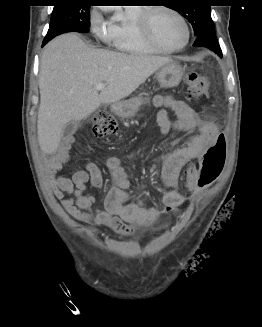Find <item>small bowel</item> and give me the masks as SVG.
Listing matches in <instances>:
<instances>
[{"label":"small bowel","mask_w":262,"mask_h":327,"mask_svg":"<svg viewBox=\"0 0 262 327\" xmlns=\"http://www.w3.org/2000/svg\"><path fill=\"white\" fill-rule=\"evenodd\" d=\"M153 105L159 109L157 122L162 134H167L172 129L198 132L184 147L173 151L162 166L161 178L167 188L161 199L162 205L175 203L176 206H181L187 199L178 190L181 170L188 164L187 170L182 171V176L187 177L183 182L186 190H195L197 167L194 162L202 164L201 154L205 153L209 143H219L215 141V136L221 134L215 124L201 120L182 100L157 96ZM166 108L175 112L176 120L169 118ZM72 144V137H66L62 141L47 166V175L54 195L74 219L108 227L121 235H130L133 224H152L159 218V209L148 207L143 201L130 200V175L115 157L106 161L114 187L105 198L104 208L93 212L95 196L86 192V186L90 183L94 188H101L103 176L100 168L89 162L84 170L77 171L72 177L57 175L63 164L68 161V151Z\"/></svg>","instance_id":"c3829d8e"}]
</instances>
